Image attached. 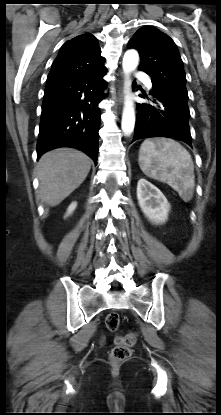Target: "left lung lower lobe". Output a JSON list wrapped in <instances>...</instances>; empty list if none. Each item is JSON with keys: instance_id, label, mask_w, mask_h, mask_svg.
<instances>
[{"instance_id": "0a47b994", "label": "left lung lower lobe", "mask_w": 221, "mask_h": 415, "mask_svg": "<svg viewBox=\"0 0 221 415\" xmlns=\"http://www.w3.org/2000/svg\"><path fill=\"white\" fill-rule=\"evenodd\" d=\"M154 105L137 104V120L133 141L151 137H168L192 146L189 127L188 97L178 93L152 90ZM147 98L142 90L139 95Z\"/></svg>"}]
</instances>
